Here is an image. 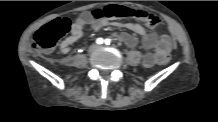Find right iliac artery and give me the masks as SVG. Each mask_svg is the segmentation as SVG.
Returning a JSON list of instances; mask_svg holds the SVG:
<instances>
[{
	"label": "right iliac artery",
	"instance_id": "obj_1",
	"mask_svg": "<svg viewBox=\"0 0 218 122\" xmlns=\"http://www.w3.org/2000/svg\"><path fill=\"white\" fill-rule=\"evenodd\" d=\"M103 41H104V40H103L102 38H97L96 43H97V44H102Z\"/></svg>",
	"mask_w": 218,
	"mask_h": 122
}]
</instances>
